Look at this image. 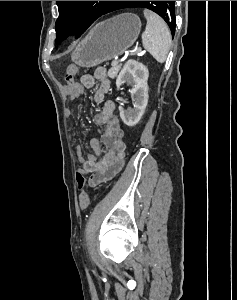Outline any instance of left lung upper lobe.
Instances as JSON below:
<instances>
[{
  "label": "left lung upper lobe",
  "mask_w": 237,
  "mask_h": 300,
  "mask_svg": "<svg viewBox=\"0 0 237 300\" xmlns=\"http://www.w3.org/2000/svg\"><path fill=\"white\" fill-rule=\"evenodd\" d=\"M59 17L56 20V42L68 38L75 33L80 37L87 28L100 16L104 15L112 1H56ZM147 8L160 15L168 24L170 30L175 31V1H167L163 6L160 1H122L124 8Z\"/></svg>",
  "instance_id": "obj_1"
}]
</instances>
